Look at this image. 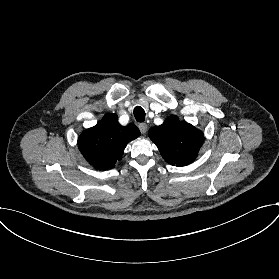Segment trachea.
Wrapping results in <instances>:
<instances>
[{"label":"trachea","mask_w":279,"mask_h":279,"mask_svg":"<svg viewBox=\"0 0 279 279\" xmlns=\"http://www.w3.org/2000/svg\"><path fill=\"white\" fill-rule=\"evenodd\" d=\"M133 112L138 122H143L145 120V112L142 107L140 106L135 107Z\"/></svg>","instance_id":"3493384b"}]
</instances>
